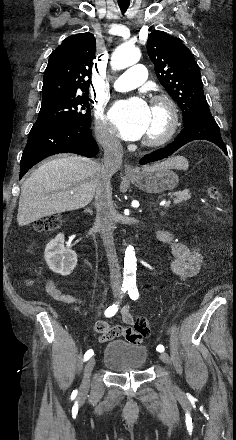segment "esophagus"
Masks as SVG:
<instances>
[{
  "instance_id": "obj_1",
  "label": "esophagus",
  "mask_w": 236,
  "mask_h": 440,
  "mask_svg": "<svg viewBox=\"0 0 236 440\" xmlns=\"http://www.w3.org/2000/svg\"><path fill=\"white\" fill-rule=\"evenodd\" d=\"M125 173L127 176H133L136 173V169L131 164H125Z\"/></svg>"
}]
</instances>
